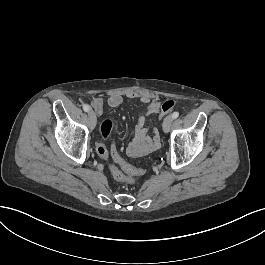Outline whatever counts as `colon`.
<instances>
[{
	"label": "colon",
	"instance_id": "5ec220e1",
	"mask_svg": "<svg viewBox=\"0 0 265 265\" xmlns=\"http://www.w3.org/2000/svg\"><path fill=\"white\" fill-rule=\"evenodd\" d=\"M178 105L179 102L176 99H167L164 102V105L161 107V114L157 115V120L163 121L164 115H167L171 108H176ZM113 125L114 121L111 119H105L102 121L99 135L103 141L109 139ZM96 151L101 158H106L108 155V149L103 143L97 144ZM112 157L114 165L111 166V171L117 179L125 180L127 182H134L143 174V171L141 169L134 168L131 165L127 164L119 153H114Z\"/></svg>",
	"mask_w": 265,
	"mask_h": 265
}]
</instances>
